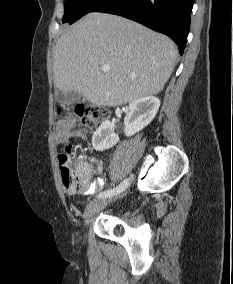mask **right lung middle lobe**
I'll return each instance as SVG.
<instances>
[{
    "instance_id": "obj_1",
    "label": "right lung middle lobe",
    "mask_w": 233,
    "mask_h": 284,
    "mask_svg": "<svg viewBox=\"0 0 233 284\" xmlns=\"http://www.w3.org/2000/svg\"><path fill=\"white\" fill-rule=\"evenodd\" d=\"M108 0H65L63 23L72 24L89 12H93Z\"/></svg>"
}]
</instances>
